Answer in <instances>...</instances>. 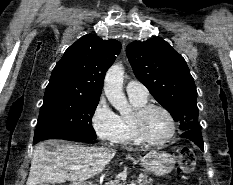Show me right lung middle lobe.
<instances>
[{
  "mask_svg": "<svg viewBox=\"0 0 233 185\" xmlns=\"http://www.w3.org/2000/svg\"><path fill=\"white\" fill-rule=\"evenodd\" d=\"M99 98L62 92L45 93L34 134V144L49 138L94 140L92 117Z\"/></svg>",
  "mask_w": 233,
  "mask_h": 185,
  "instance_id": "obj_1",
  "label": "right lung middle lobe"
}]
</instances>
